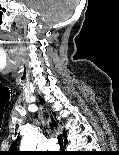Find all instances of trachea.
Here are the masks:
<instances>
[{"mask_svg": "<svg viewBox=\"0 0 119 155\" xmlns=\"http://www.w3.org/2000/svg\"><path fill=\"white\" fill-rule=\"evenodd\" d=\"M57 139H58L59 145H63L64 141H63V137L61 134L58 135Z\"/></svg>", "mask_w": 119, "mask_h": 155, "instance_id": "trachea-1", "label": "trachea"}]
</instances>
